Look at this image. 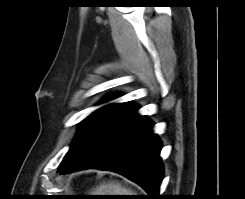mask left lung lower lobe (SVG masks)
I'll return each mask as SVG.
<instances>
[{"label":"left lung lower lobe","mask_w":245,"mask_h":199,"mask_svg":"<svg viewBox=\"0 0 245 199\" xmlns=\"http://www.w3.org/2000/svg\"><path fill=\"white\" fill-rule=\"evenodd\" d=\"M131 105L100 130L78 158L61 173L98 168L118 172L142 186L148 199H159L163 179L161 142L153 123Z\"/></svg>","instance_id":"obj_1"}]
</instances>
